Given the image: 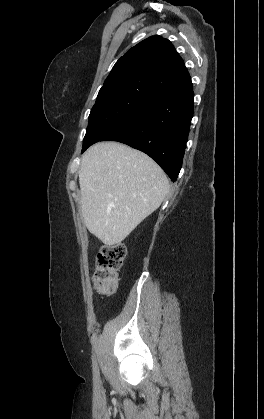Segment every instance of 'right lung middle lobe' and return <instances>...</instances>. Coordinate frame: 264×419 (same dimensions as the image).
Listing matches in <instances>:
<instances>
[{
	"label": "right lung middle lobe",
	"instance_id": "dd1d6c3e",
	"mask_svg": "<svg viewBox=\"0 0 264 419\" xmlns=\"http://www.w3.org/2000/svg\"><path fill=\"white\" fill-rule=\"evenodd\" d=\"M152 93L121 84L101 88L89 115L82 152L121 126Z\"/></svg>",
	"mask_w": 264,
	"mask_h": 419
}]
</instances>
